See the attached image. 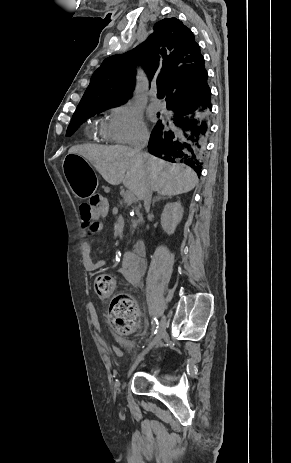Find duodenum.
Instances as JSON below:
<instances>
[{"mask_svg": "<svg viewBox=\"0 0 291 463\" xmlns=\"http://www.w3.org/2000/svg\"><path fill=\"white\" fill-rule=\"evenodd\" d=\"M132 250L136 255L144 256L146 254V243H145V241L144 240H138L134 244Z\"/></svg>", "mask_w": 291, "mask_h": 463, "instance_id": "1", "label": "duodenum"}]
</instances>
